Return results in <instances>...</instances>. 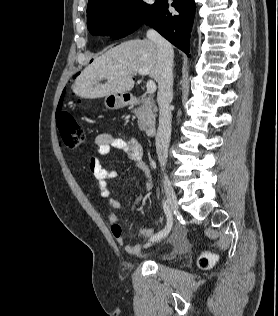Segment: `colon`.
Wrapping results in <instances>:
<instances>
[{
    "instance_id": "obj_1",
    "label": "colon",
    "mask_w": 278,
    "mask_h": 316,
    "mask_svg": "<svg viewBox=\"0 0 278 316\" xmlns=\"http://www.w3.org/2000/svg\"><path fill=\"white\" fill-rule=\"evenodd\" d=\"M57 127L63 144L71 149L85 144L86 133L80 127L73 116L66 112L57 115ZM214 262V256L210 253L202 254L198 259V265L202 269H208Z\"/></svg>"
}]
</instances>
